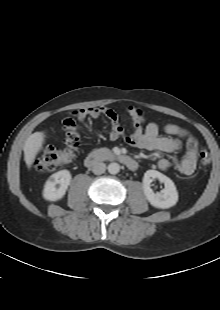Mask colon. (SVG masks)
Here are the masks:
<instances>
[{
    "label": "colon",
    "mask_w": 220,
    "mask_h": 310,
    "mask_svg": "<svg viewBox=\"0 0 220 310\" xmlns=\"http://www.w3.org/2000/svg\"><path fill=\"white\" fill-rule=\"evenodd\" d=\"M64 127L66 130V146L64 148L44 146L40 150V153L34 162L35 168L37 170L52 171L59 166L71 162L75 157L81 141L76 122L72 118H68L64 121ZM197 155L201 167L206 168L210 165L211 156L206 148L198 147Z\"/></svg>",
    "instance_id": "obj_1"
}]
</instances>
